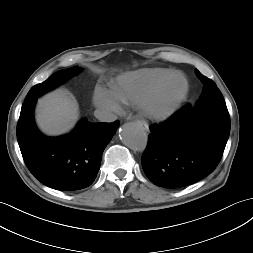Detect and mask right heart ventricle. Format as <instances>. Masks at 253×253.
<instances>
[{"label": "right heart ventricle", "instance_id": "obj_1", "mask_svg": "<svg viewBox=\"0 0 253 253\" xmlns=\"http://www.w3.org/2000/svg\"><path fill=\"white\" fill-rule=\"evenodd\" d=\"M174 73L173 70L161 68L139 70L117 79L110 91L118 102L136 105Z\"/></svg>", "mask_w": 253, "mask_h": 253}]
</instances>
